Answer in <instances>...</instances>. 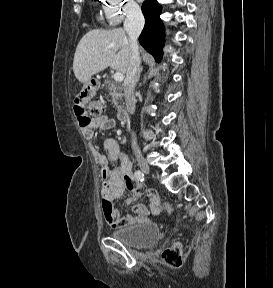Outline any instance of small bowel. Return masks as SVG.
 <instances>
[{"label": "small bowel", "instance_id": "obj_1", "mask_svg": "<svg viewBox=\"0 0 273 288\" xmlns=\"http://www.w3.org/2000/svg\"><path fill=\"white\" fill-rule=\"evenodd\" d=\"M115 126V121L105 115H95L88 126L82 128V134L88 142H92L95 130H108ZM103 148L107 155L94 152V158L101 165L100 174L103 179L101 187L102 207L107 222L114 228L130 226L146 221L148 215L161 212L160 198L158 194L147 189L137 181L132 174V164L127 153L121 149L118 142L113 138H107L103 142ZM111 161H119L117 168H110ZM132 193L127 200L128 204L133 203L142 195H146L150 201V209L143 204H135L133 210L136 215L121 217L114 207L113 202L123 196L125 190Z\"/></svg>", "mask_w": 273, "mask_h": 288}]
</instances>
